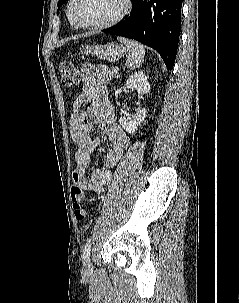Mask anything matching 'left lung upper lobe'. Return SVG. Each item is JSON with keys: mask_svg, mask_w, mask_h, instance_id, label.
<instances>
[{"mask_svg": "<svg viewBox=\"0 0 239 303\" xmlns=\"http://www.w3.org/2000/svg\"><path fill=\"white\" fill-rule=\"evenodd\" d=\"M66 0H59L58 7H60Z\"/></svg>", "mask_w": 239, "mask_h": 303, "instance_id": "5c2ea615", "label": "left lung upper lobe"}]
</instances>
